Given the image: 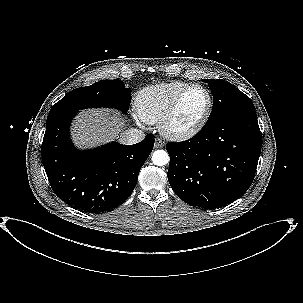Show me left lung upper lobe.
Here are the masks:
<instances>
[{
  "mask_svg": "<svg viewBox=\"0 0 303 303\" xmlns=\"http://www.w3.org/2000/svg\"><path fill=\"white\" fill-rule=\"evenodd\" d=\"M213 96V108L207 123L222 118L256 112L251 99L231 83L224 80L203 79Z\"/></svg>",
  "mask_w": 303,
  "mask_h": 303,
  "instance_id": "obj_1",
  "label": "left lung upper lobe"
}]
</instances>
